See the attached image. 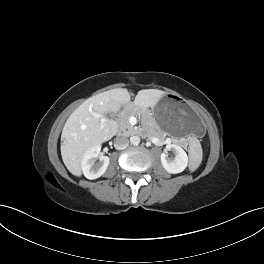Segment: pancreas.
Segmentation results:
<instances>
[{"label":"pancreas","mask_w":264,"mask_h":264,"mask_svg":"<svg viewBox=\"0 0 264 264\" xmlns=\"http://www.w3.org/2000/svg\"><path fill=\"white\" fill-rule=\"evenodd\" d=\"M138 110L136 107L126 108L120 118L118 119L119 130L124 134L130 135L136 132V129L129 123L130 116H137ZM157 127L153 121H151V127L148 131L149 136H157L164 138L160 131L156 130Z\"/></svg>","instance_id":"pancreas-1"}]
</instances>
